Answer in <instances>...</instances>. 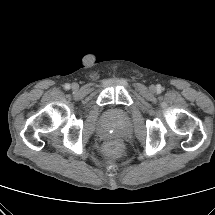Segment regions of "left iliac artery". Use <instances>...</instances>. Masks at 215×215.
<instances>
[{"instance_id":"obj_1","label":"left iliac artery","mask_w":215,"mask_h":215,"mask_svg":"<svg viewBox=\"0 0 215 215\" xmlns=\"http://www.w3.org/2000/svg\"><path fill=\"white\" fill-rule=\"evenodd\" d=\"M157 89H158V90H161V86L158 85Z\"/></svg>"}]
</instances>
